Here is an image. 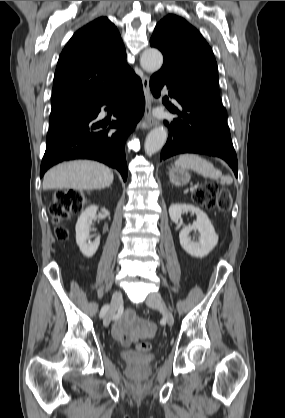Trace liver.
<instances>
[{"mask_svg": "<svg viewBox=\"0 0 285 418\" xmlns=\"http://www.w3.org/2000/svg\"><path fill=\"white\" fill-rule=\"evenodd\" d=\"M114 179L111 169L105 165L78 160L51 168L43 178V189L95 190L109 187Z\"/></svg>", "mask_w": 285, "mask_h": 418, "instance_id": "1", "label": "liver"}]
</instances>
